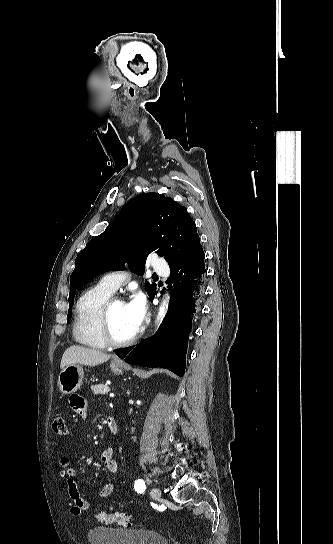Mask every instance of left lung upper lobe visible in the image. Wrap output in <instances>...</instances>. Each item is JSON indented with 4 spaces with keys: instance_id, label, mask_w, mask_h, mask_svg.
<instances>
[{
    "instance_id": "obj_1",
    "label": "left lung upper lobe",
    "mask_w": 333,
    "mask_h": 544,
    "mask_svg": "<svg viewBox=\"0 0 333 544\" xmlns=\"http://www.w3.org/2000/svg\"><path fill=\"white\" fill-rule=\"evenodd\" d=\"M193 219L186 208L172 198L157 193L141 194L121 209L118 216L99 236L93 238L78 254L70 277L69 311L76 289L97 274L122 268L127 261L138 264L144 274L147 256L155 252L163 256L170 269L184 262L200 246ZM149 298L157 292L155 283L146 282Z\"/></svg>"
}]
</instances>
